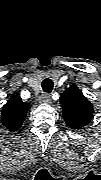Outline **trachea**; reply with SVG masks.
<instances>
[{
	"label": "trachea",
	"instance_id": "1",
	"mask_svg": "<svg viewBox=\"0 0 101 180\" xmlns=\"http://www.w3.org/2000/svg\"><path fill=\"white\" fill-rule=\"evenodd\" d=\"M41 86L45 93H51L53 90L54 83L51 79L46 78L42 81Z\"/></svg>",
	"mask_w": 101,
	"mask_h": 180
}]
</instances>
